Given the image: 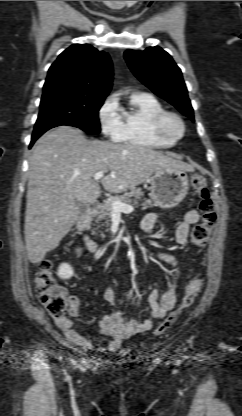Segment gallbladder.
Instances as JSON below:
<instances>
[{
    "instance_id": "gallbladder-1",
    "label": "gallbladder",
    "mask_w": 242,
    "mask_h": 416,
    "mask_svg": "<svg viewBox=\"0 0 242 416\" xmlns=\"http://www.w3.org/2000/svg\"><path fill=\"white\" fill-rule=\"evenodd\" d=\"M77 206H78L80 214H84L86 212V205L85 204L77 202Z\"/></svg>"
}]
</instances>
